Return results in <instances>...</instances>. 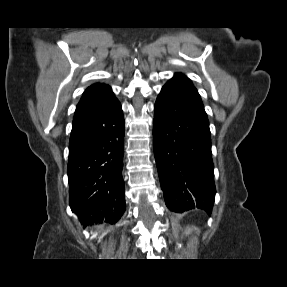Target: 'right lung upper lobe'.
Segmentation results:
<instances>
[{"label": "right lung upper lobe", "mask_w": 287, "mask_h": 287, "mask_svg": "<svg viewBox=\"0 0 287 287\" xmlns=\"http://www.w3.org/2000/svg\"><path fill=\"white\" fill-rule=\"evenodd\" d=\"M116 100L109 85L95 83L89 86L76 107L74 116L89 114L100 110Z\"/></svg>", "instance_id": "right-lung-upper-lobe-1"}]
</instances>
